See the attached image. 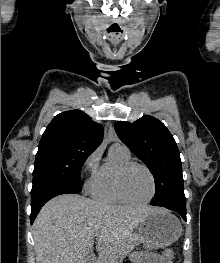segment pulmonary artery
<instances>
[{"instance_id": "1", "label": "pulmonary artery", "mask_w": 220, "mask_h": 263, "mask_svg": "<svg viewBox=\"0 0 220 263\" xmlns=\"http://www.w3.org/2000/svg\"><path fill=\"white\" fill-rule=\"evenodd\" d=\"M112 147H115V148H117L118 150H120V151H122V152H124V153L129 154L128 148H127L123 143L117 142V143L113 144Z\"/></svg>"}]
</instances>
